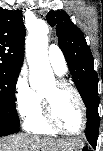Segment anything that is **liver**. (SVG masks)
I'll use <instances>...</instances> for the list:
<instances>
[{
    "label": "liver",
    "instance_id": "1",
    "mask_svg": "<svg viewBox=\"0 0 103 151\" xmlns=\"http://www.w3.org/2000/svg\"><path fill=\"white\" fill-rule=\"evenodd\" d=\"M76 142L80 141L16 134L0 140V151H59Z\"/></svg>",
    "mask_w": 103,
    "mask_h": 151
}]
</instances>
